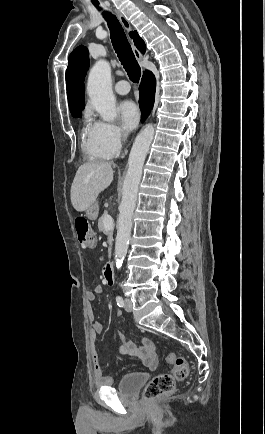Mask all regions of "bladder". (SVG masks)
Listing matches in <instances>:
<instances>
[{
    "label": "bladder",
    "instance_id": "1",
    "mask_svg": "<svg viewBox=\"0 0 265 434\" xmlns=\"http://www.w3.org/2000/svg\"><path fill=\"white\" fill-rule=\"evenodd\" d=\"M147 381L145 373H131L125 375L118 385V395L123 398L135 399Z\"/></svg>",
    "mask_w": 265,
    "mask_h": 434
}]
</instances>
